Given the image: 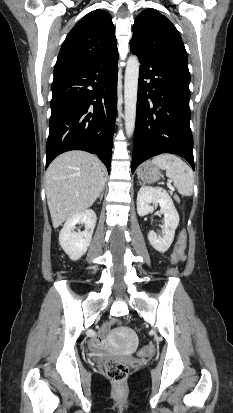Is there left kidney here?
Masks as SVG:
<instances>
[{"instance_id":"5707ae66","label":"left kidney","mask_w":233,"mask_h":413,"mask_svg":"<svg viewBox=\"0 0 233 413\" xmlns=\"http://www.w3.org/2000/svg\"><path fill=\"white\" fill-rule=\"evenodd\" d=\"M159 204L160 213L164 215L163 236H157L154 231L148 233V240L152 247L163 253L171 246L175 230L179 224V215L169 194L162 188L144 186L137 194V212L139 216H145L154 210Z\"/></svg>"}]
</instances>
